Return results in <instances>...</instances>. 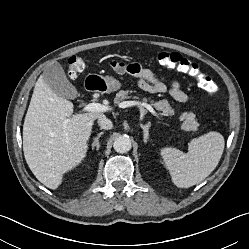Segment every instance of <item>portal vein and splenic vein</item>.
<instances>
[{"mask_svg":"<svg viewBox=\"0 0 249 249\" xmlns=\"http://www.w3.org/2000/svg\"><path fill=\"white\" fill-rule=\"evenodd\" d=\"M133 105H137L140 109L141 114H144L145 109L146 108L150 113H152L154 116H156L157 118H159V114L154 110V108L147 104V103H141V102H136V101H124L122 103L119 104V107L121 108H126V107H130ZM112 108L106 105H102L100 103H89L87 104L82 111L84 112H106V111H111Z\"/></svg>","mask_w":249,"mask_h":249,"instance_id":"obj_1","label":"portal vein and splenic vein"}]
</instances>
